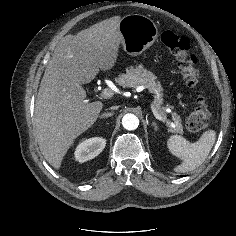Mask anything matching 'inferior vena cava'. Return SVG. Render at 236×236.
<instances>
[{
  "instance_id": "1",
  "label": "inferior vena cava",
  "mask_w": 236,
  "mask_h": 236,
  "mask_svg": "<svg viewBox=\"0 0 236 236\" xmlns=\"http://www.w3.org/2000/svg\"><path fill=\"white\" fill-rule=\"evenodd\" d=\"M118 108H119V106H112V107H110L111 110H115V109H118Z\"/></svg>"
}]
</instances>
